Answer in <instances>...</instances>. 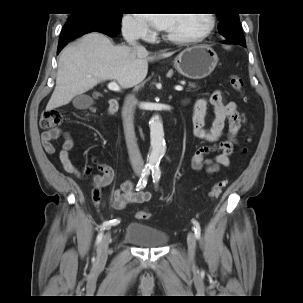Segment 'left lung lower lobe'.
Returning a JSON list of instances; mask_svg holds the SVG:
<instances>
[{"instance_id":"left-lung-lower-lobe-1","label":"left lung lower lobe","mask_w":303,"mask_h":303,"mask_svg":"<svg viewBox=\"0 0 303 303\" xmlns=\"http://www.w3.org/2000/svg\"><path fill=\"white\" fill-rule=\"evenodd\" d=\"M223 43H226V44H231V43H233V44H239V45H241V46H243V47H245V42H230V41H225V42H223Z\"/></svg>"}]
</instances>
